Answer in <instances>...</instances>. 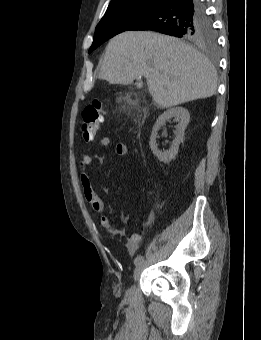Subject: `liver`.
<instances>
[{"mask_svg":"<svg viewBox=\"0 0 261 340\" xmlns=\"http://www.w3.org/2000/svg\"><path fill=\"white\" fill-rule=\"evenodd\" d=\"M142 76L160 108L208 98L217 90L214 66L185 42L151 31H126L113 37L99 79L130 85Z\"/></svg>","mask_w":261,"mask_h":340,"instance_id":"obj_1","label":"liver"}]
</instances>
